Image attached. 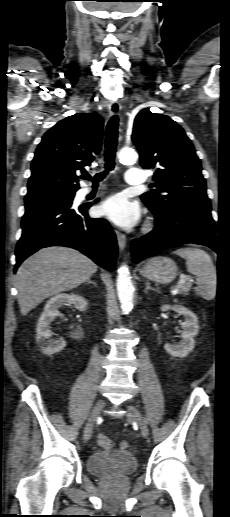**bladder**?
<instances>
[{
	"label": "bladder",
	"mask_w": 230,
	"mask_h": 517,
	"mask_svg": "<svg viewBox=\"0 0 230 517\" xmlns=\"http://www.w3.org/2000/svg\"><path fill=\"white\" fill-rule=\"evenodd\" d=\"M87 468L92 475L98 477H126L136 470L137 459L126 451H101L89 457Z\"/></svg>",
	"instance_id": "bladder-1"
}]
</instances>
